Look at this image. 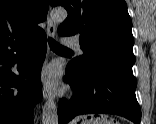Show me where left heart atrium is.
<instances>
[{"label": "left heart atrium", "mask_w": 156, "mask_h": 124, "mask_svg": "<svg viewBox=\"0 0 156 124\" xmlns=\"http://www.w3.org/2000/svg\"><path fill=\"white\" fill-rule=\"evenodd\" d=\"M42 79L49 87L55 89L58 85V80H59L58 68L54 65L48 66L43 71Z\"/></svg>", "instance_id": "1"}]
</instances>
